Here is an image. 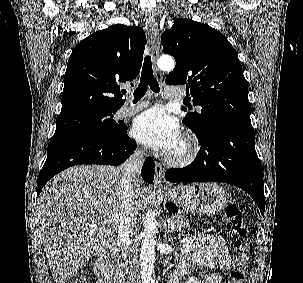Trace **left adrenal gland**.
I'll return each instance as SVG.
<instances>
[{
	"label": "left adrenal gland",
	"mask_w": 303,
	"mask_h": 283,
	"mask_svg": "<svg viewBox=\"0 0 303 283\" xmlns=\"http://www.w3.org/2000/svg\"><path fill=\"white\" fill-rule=\"evenodd\" d=\"M165 235H168L169 240H171V237H169V230H168L167 227H166V229H165Z\"/></svg>",
	"instance_id": "left-adrenal-gland-1"
}]
</instances>
